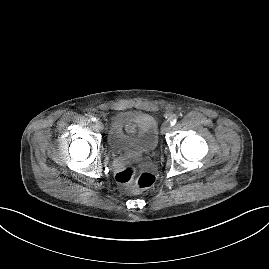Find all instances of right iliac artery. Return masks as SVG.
<instances>
[{"label": "right iliac artery", "instance_id": "1", "mask_svg": "<svg viewBox=\"0 0 269 269\" xmlns=\"http://www.w3.org/2000/svg\"><path fill=\"white\" fill-rule=\"evenodd\" d=\"M91 120L95 122L97 119L95 117H92Z\"/></svg>", "mask_w": 269, "mask_h": 269}]
</instances>
